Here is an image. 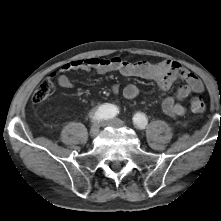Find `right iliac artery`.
Returning <instances> with one entry per match:
<instances>
[{
    "instance_id": "right-iliac-artery-1",
    "label": "right iliac artery",
    "mask_w": 221,
    "mask_h": 221,
    "mask_svg": "<svg viewBox=\"0 0 221 221\" xmlns=\"http://www.w3.org/2000/svg\"><path fill=\"white\" fill-rule=\"evenodd\" d=\"M119 113L118 108L111 104H104L98 107V109L91 115L92 120L103 121L115 117Z\"/></svg>"
}]
</instances>
